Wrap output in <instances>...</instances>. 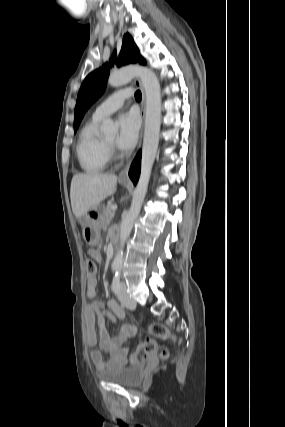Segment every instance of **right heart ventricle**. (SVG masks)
<instances>
[{"instance_id":"1","label":"right heart ventricle","mask_w":285,"mask_h":427,"mask_svg":"<svg viewBox=\"0 0 285 427\" xmlns=\"http://www.w3.org/2000/svg\"><path fill=\"white\" fill-rule=\"evenodd\" d=\"M100 119L92 117L81 129L76 144V157L80 168L89 174L102 172L110 156L104 139L98 133Z\"/></svg>"}]
</instances>
